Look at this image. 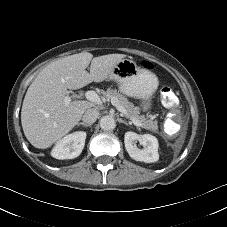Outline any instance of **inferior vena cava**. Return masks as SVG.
Segmentation results:
<instances>
[{"instance_id": "inferior-vena-cava-1", "label": "inferior vena cava", "mask_w": 227, "mask_h": 227, "mask_svg": "<svg viewBox=\"0 0 227 227\" xmlns=\"http://www.w3.org/2000/svg\"><path fill=\"white\" fill-rule=\"evenodd\" d=\"M99 117V111L94 108L87 109L82 117V120L86 124H93Z\"/></svg>"}]
</instances>
